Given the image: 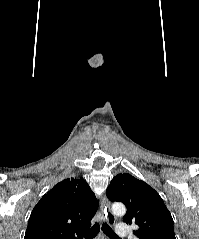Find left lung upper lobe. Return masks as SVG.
<instances>
[{
    "instance_id": "1",
    "label": "left lung upper lobe",
    "mask_w": 199,
    "mask_h": 239,
    "mask_svg": "<svg viewBox=\"0 0 199 239\" xmlns=\"http://www.w3.org/2000/svg\"><path fill=\"white\" fill-rule=\"evenodd\" d=\"M112 202L127 206L123 221L136 224L139 239H176L173 219L159 194L145 182L130 174H118L106 192Z\"/></svg>"
}]
</instances>
